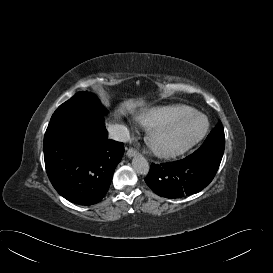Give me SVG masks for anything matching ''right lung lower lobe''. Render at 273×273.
I'll return each instance as SVG.
<instances>
[{
  "label": "right lung lower lobe",
  "instance_id": "98d812e1",
  "mask_svg": "<svg viewBox=\"0 0 273 273\" xmlns=\"http://www.w3.org/2000/svg\"><path fill=\"white\" fill-rule=\"evenodd\" d=\"M43 147L53 187L79 205L102 200L124 154L123 143L108 139L103 119L68 112L52 115Z\"/></svg>",
  "mask_w": 273,
  "mask_h": 273
}]
</instances>
